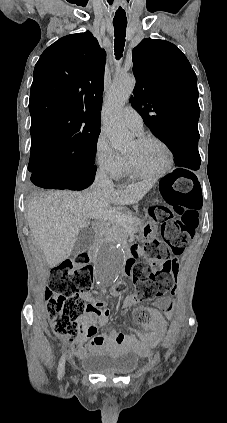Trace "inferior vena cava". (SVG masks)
<instances>
[{"mask_svg":"<svg viewBox=\"0 0 227 423\" xmlns=\"http://www.w3.org/2000/svg\"><path fill=\"white\" fill-rule=\"evenodd\" d=\"M95 184L96 186H101L103 190H109V188H113V182L112 180H109L106 168H104V166H99L96 172Z\"/></svg>","mask_w":227,"mask_h":423,"instance_id":"inferior-vena-cava-1","label":"inferior vena cava"}]
</instances>
